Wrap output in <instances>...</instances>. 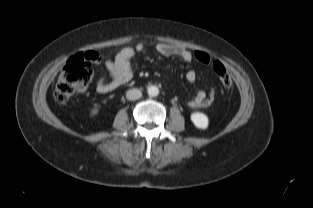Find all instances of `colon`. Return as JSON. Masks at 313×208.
<instances>
[{
    "label": "colon",
    "mask_w": 313,
    "mask_h": 208,
    "mask_svg": "<svg viewBox=\"0 0 313 208\" xmlns=\"http://www.w3.org/2000/svg\"><path fill=\"white\" fill-rule=\"evenodd\" d=\"M96 59L95 52L88 51L71 56L59 74L55 85L54 99L59 105H65L77 92L85 89L93 77L92 62ZM193 59L202 64H209L211 57L203 51L193 52ZM213 70L225 88L232 86V78L223 63L214 61ZM215 99L214 89L202 103V107L210 106Z\"/></svg>",
    "instance_id": "1"
}]
</instances>
